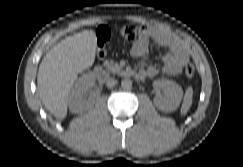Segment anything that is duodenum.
Instances as JSON below:
<instances>
[{"label": "duodenum", "mask_w": 243, "mask_h": 167, "mask_svg": "<svg viewBox=\"0 0 243 167\" xmlns=\"http://www.w3.org/2000/svg\"><path fill=\"white\" fill-rule=\"evenodd\" d=\"M93 72L97 79L101 80V79L105 78V69L102 65H97L94 68ZM136 76H137V74H136Z\"/></svg>", "instance_id": "duodenum-1"}]
</instances>
